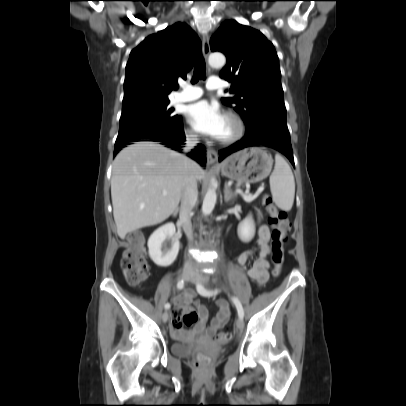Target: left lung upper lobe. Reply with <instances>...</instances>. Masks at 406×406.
I'll return each instance as SVG.
<instances>
[{"label": "left lung upper lobe", "instance_id": "left-lung-upper-lobe-1", "mask_svg": "<svg viewBox=\"0 0 406 406\" xmlns=\"http://www.w3.org/2000/svg\"><path fill=\"white\" fill-rule=\"evenodd\" d=\"M227 64L220 77L231 82L232 97L221 101L236 110L247 127L261 122L286 125L279 60L273 44L258 30L226 20L210 40Z\"/></svg>", "mask_w": 406, "mask_h": 406}]
</instances>
